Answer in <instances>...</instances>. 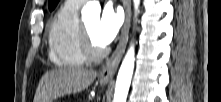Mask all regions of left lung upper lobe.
Returning a JSON list of instances; mask_svg holds the SVG:
<instances>
[{"instance_id":"left-lung-upper-lobe-1","label":"left lung upper lobe","mask_w":221,"mask_h":102,"mask_svg":"<svg viewBox=\"0 0 221 102\" xmlns=\"http://www.w3.org/2000/svg\"><path fill=\"white\" fill-rule=\"evenodd\" d=\"M59 0H49V9L53 10L57 4H58Z\"/></svg>"}]
</instances>
